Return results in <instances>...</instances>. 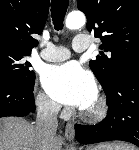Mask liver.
Returning a JSON list of instances; mask_svg holds the SVG:
<instances>
[{"mask_svg": "<svg viewBox=\"0 0 139 150\" xmlns=\"http://www.w3.org/2000/svg\"><path fill=\"white\" fill-rule=\"evenodd\" d=\"M62 139L56 136L54 150H61ZM35 127L23 118L0 119V150H40Z\"/></svg>", "mask_w": 139, "mask_h": 150, "instance_id": "1", "label": "liver"}]
</instances>
